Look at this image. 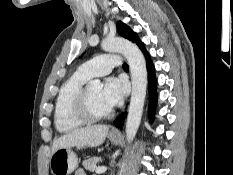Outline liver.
<instances>
[{
	"label": "liver",
	"instance_id": "6515ba94",
	"mask_svg": "<svg viewBox=\"0 0 233 175\" xmlns=\"http://www.w3.org/2000/svg\"><path fill=\"white\" fill-rule=\"evenodd\" d=\"M108 130L109 128L106 125L88 126L72 130L54 140L52 153L59 148L100 146L104 142Z\"/></svg>",
	"mask_w": 233,
	"mask_h": 175
}]
</instances>
